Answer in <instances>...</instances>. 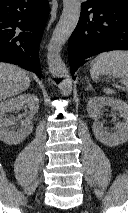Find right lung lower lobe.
Returning a JSON list of instances; mask_svg holds the SVG:
<instances>
[{
  "label": "right lung lower lobe",
  "mask_w": 128,
  "mask_h": 213,
  "mask_svg": "<svg viewBox=\"0 0 128 213\" xmlns=\"http://www.w3.org/2000/svg\"><path fill=\"white\" fill-rule=\"evenodd\" d=\"M48 0H0V60L15 61L41 78L39 45Z\"/></svg>",
  "instance_id": "1"
}]
</instances>
